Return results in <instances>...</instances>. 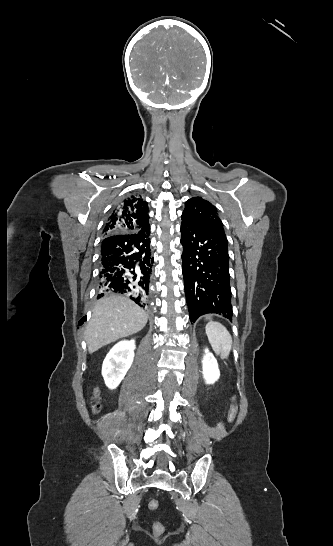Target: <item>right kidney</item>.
I'll return each mask as SVG.
<instances>
[{
    "label": "right kidney",
    "instance_id": "right-kidney-1",
    "mask_svg": "<svg viewBox=\"0 0 333 546\" xmlns=\"http://www.w3.org/2000/svg\"><path fill=\"white\" fill-rule=\"evenodd\" d=\"M134 349V339L124 340L116 344L106 355L102 365V376L109 389H115L131 367Z\"/></svg>",
    "mask_w": 333,
    "mask_h": 546
}]
</instances>
